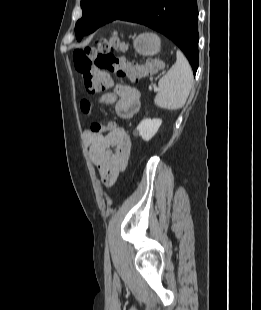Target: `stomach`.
Returning a JSON list of instances; mask_svg holds the SVG:
<instances>
[{
	"instance_id": "stomach-1",
	"label": "stomach",
	"mask_w": 261,
	"mask_h": 310,
	"mask_svg": "<svg viewBox=\"0 0 261 310\" xmlns=\"http://www.w3.org/2000/svg\"><path fill=\"white\" fill-rule=\"evenodd\" d=\"M133 46L139 54L152 56L160 51L161 42L157 35L153 33H143L134 38Z\"/></svg>"
}]
</instances>
